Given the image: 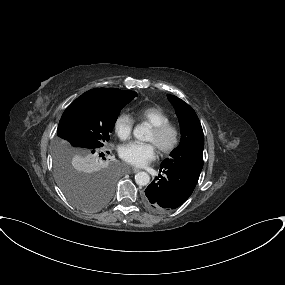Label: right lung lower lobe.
I'll return each instance as SVG.
<instances>
[{"instance_id":"98d812e1","label":"right lung lower lobe","mask_w":285,"mask_h":285,"mask_svg":"<svg viewBox=\"0 0 285 285\" xmlns=\"http://www.w3.org/2000/svg\"><path fill=\"white\" fill-rule=\"evenodd\" d=\"M90 168H91V170H93V171H98V170H100L101 166H100V165H97V164H91V165H90Z\"/></svg>"}]
</instances>
